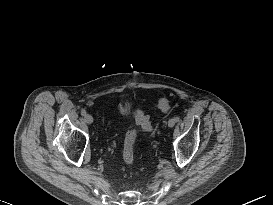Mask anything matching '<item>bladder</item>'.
Masks as SVG:
<instances>
[{
	"instance_id": "31cf9c89",
	"label": "bladder",
	"mask_w": 273,
	"mask_h": 205,
	"mask_svg": "<svg viewBox=\"0 0 273 205\" xmlns=\"http://www.w3.org/2000/svg\"><path fill=\"white\" fill-rule=\"evenodd\" d=\"M131 109V105L129 103H122L120 105V113L122 115H127Z\"/></svg>"
}]
</instances>
